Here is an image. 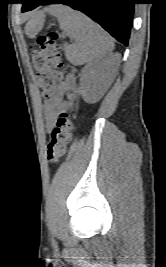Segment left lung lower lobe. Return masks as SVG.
I'll return each instance as SVG.
<instances>
[{"mask_svg":"<svg viewBox=\"0 0 166 267\" xmlns=\"http://www.w3.org/2000/svg\"><path fill=\"white\" fill-rule=\"evenodd\" d=\"M22 12L41 4H66L84 12L124 45L128 44L135 0H23Z\"/></svg>","mask_w":166,"mask_h":267,"instance_id":"obj_1","label":"left lung lower lobe"}]
</instances>
